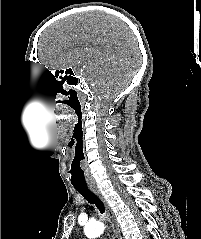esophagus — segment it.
Here are the masks:
<instances>
[{
    "label": "esophagus",
    "instance_id": "obj_1",
    "mask_svg": "<svg viewBox=\"0 0 201 239\" xmlns=\"http://www.w3.org/2000/svg\"><path fill=\"white\" fill-rule=\"evenodd\" d=\"M90 190L95 193L99 199L104 203L105 205V208H106V214H107V217L111 223V226L113 228V231L117 237V239H122V236H121V233H120V228H119V225L118 223L116 222L115 220V217H114V214L110 208V206L107 204L103 194L101 193L100 189L98 188V186H90Z\"/></svg>",
    "mask_w": 201,
    "mask_h": 239
}]
</instances>
